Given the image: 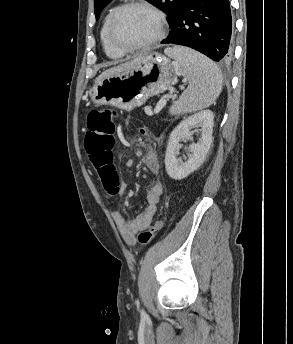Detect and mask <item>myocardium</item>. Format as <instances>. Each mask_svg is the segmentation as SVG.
<instances>
[{"instance_id":"1","label":"myocardium","mask_w":293,"mask_h":344,"mask_svg":"<svg viewBox=\"0 0 293 344\" xmlns=\"http://www.w3.org/2000/svg\"><path fill=\"white\" fill-rule=\"evenodd\" d=\"M132 7H140L152 13L157 21V31H156V34L148 41L139 45L128 46V45H124L120 43L117 40L116 34H115V25L120 13ZM165 34H166L165 15L158 8H156L155 6H153L152 4L144 0H127L125 3L119 5L113 10L109 19V24H108L109 41L116 50L123 53H134V52L147 50L151 48L152 46L156 45L157 43H159L165 37Z\"/></svg>"}]
</instances>
